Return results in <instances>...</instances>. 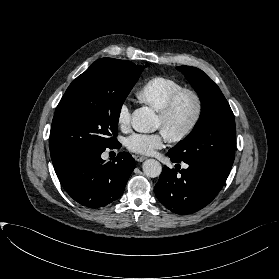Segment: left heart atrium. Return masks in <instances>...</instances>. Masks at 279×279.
<instances>
[{
    "mask_svg": "<svg viewBox=\"0 0 279 279\" xmlns=\"http://www.w3.org/2000/svg\"><path fill=\"white\" fill-rule=\"evenodd\" d=\"M167 136L162 132L134 133L126 139V147L129 151L141 155H152L156 150L164 147Z\"/></svg>",
    "mask_w": 279,
    "mask_h": 279,
    "instance_id": "39dd6f15",
    "label": "left heart atrium"
}]
</instances>
